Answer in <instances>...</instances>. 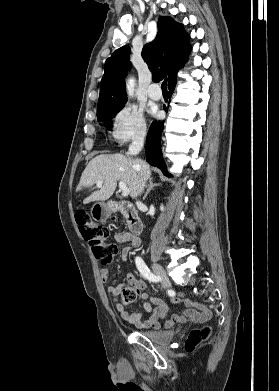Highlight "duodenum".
<instances>
[{"label":"duodenum","instance_id":"obj_1","mask_svg":"<svg viewBox=\"0 0 279 391\" xmlns=\"http://www.w3.org/2000/svg\"><path fill=\"white\" fill-rule=\"evenodd\" d=\"M111 206L113 211L121 213L126 219L131 232L132 241L135 242L143 230V223L138 216L136 209L130 202L127 201H114L111 203Z\"/></svg>","mask_w":279,"mask_h":391}]
</instances>
